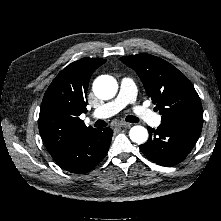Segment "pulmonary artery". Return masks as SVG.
I'll return each mask as SVG.
<instances>
[{"label": "pulmonary artery", "mask_w": 221, "mask_h": 221, "mask_svg": "<svg viewBox=\"0 0 221 221\" xmlns=\"http://www.w3.org/2000/svg\"><path fill=\"white\" fill-rule=\"evenodd\" d=\"M136 101V86L131 78H123L120 83V90L117 97L102 105L93 111V118H108L120 110H122L128 104H133ZM135 116L154 127H157L161 123V116L154 113L152 110L136 105L133 107Z\"/></svg>", "instance_id": "1"}]
</instances>
